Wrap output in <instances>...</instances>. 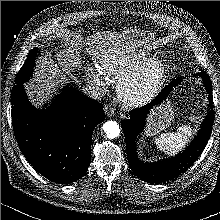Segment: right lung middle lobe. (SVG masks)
I'll use <instances>...</instances> for the list:
<instances>
[{"label": "right lung middle lobe", "mask_w": 220, "mask_h": 220, "mask_svg": "<svg viewBox=\"0 0 220 220\" xmlns=\"http://www.w3.org/2000/svg\"><path fill=\"white\" fill-rule=\"evenodd\" d=\"M36 53L37 48H34V50L29 53L24 65L22 66L15 78V84L24 83L30 79V77L32 76Z\"/></svg>", "instance_id": "dd1d6c3e"}]
</instances>
